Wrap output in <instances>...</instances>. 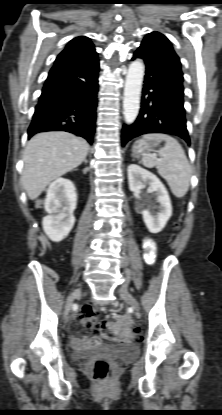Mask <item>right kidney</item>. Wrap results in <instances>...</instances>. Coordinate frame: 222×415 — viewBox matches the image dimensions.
Returning <instances> with one entry per match:
<instances>
[{"label": "right kidney", "instance_id": "right-kidney-1", "mask_svg": "<svg viewBox=\"0 0 222 415\" xmlns=\"http://www.w3.org/2000/svg\"><path fill=\"white\" fill-rule=\"evenodd\" d=\"M76 205V188L70 180L58 178L50 184L44 202L49 215L43 218L42 225L52 241L59 242L68 236L75 223Z\"/></svg>", "mask_w": 222, "mask_h": 415}]
</instances>
